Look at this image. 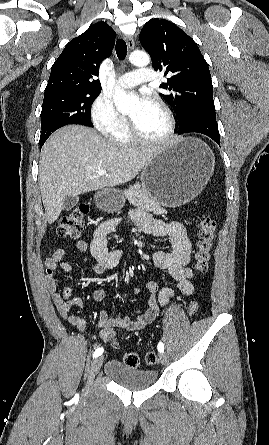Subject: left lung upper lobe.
Returning <instances> with one entry per match:
<instances>
[{
    "mask_svg": "<svg viewBox=\"0 0 269 445\" xmlns=\"http://www.w3.org/2000/svg\"><path fill=\"white\" fill-rule=\"evenodd\" d=\"M140 42L155 70L171 74L160 93L174 109L179 129L199 116H216L208 65L197 44L183 30L164 19H152L142 28Z\"/></svg>",
    "mask_w": 269,
    "mask_h": 445,
    "instance_id": "obj_1",
    "label": "left lung upper lobe"
}]
</instances>
